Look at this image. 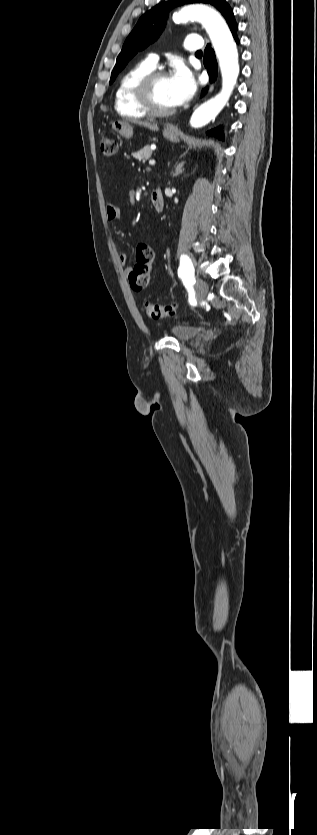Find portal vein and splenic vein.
Masks as SVG:
<instances>
[{"instance_id": "18ae733b", "label": "portal vein and splenic vein", "mask_w": 317, "mask_h": 835, "mask_svg": "<svg viewBox=\"0 0 317 835\" xmlns=\"http://www.w3.org/2000/svg\"><path fill=\"white\" fill-rule=\"evenodd\" d=\"M151 148H152V149H155L156 147L154 146V147H151ZM149 165H150V166H154V165H155V161H154V160H150V161H149Z\"/></svg>"}]
</instances>
